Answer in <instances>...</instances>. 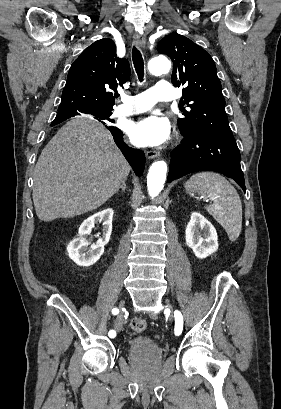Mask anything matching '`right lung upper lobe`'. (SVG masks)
<instances>
[{"label": "right lung upper lobe", "mask_w": 281, "mask_h": 409, "mask_svg": "<svg viewBox=\"0 0 281 409\" xmlns=\"http://www.w3.org/2000/svg\"><path fill=\"white\" fill-rule=\"evenodd\" d=\"M129 77V63L116 57L114 42L108 38L98 40L71 65L58 111H112L113 96L109 91H115Z\"/></svg>", "instance_id": "obj_1"}]
</instances>
